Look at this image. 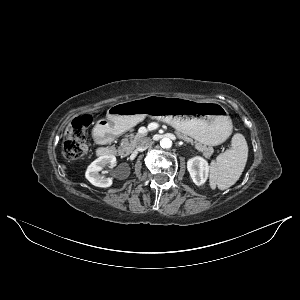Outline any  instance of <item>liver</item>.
<instances>
[{
    "mask_svg": "<svg viewBox=\"0 0 300 300\" xmlns=\"http://www.w3.org/2000/svg\"><path fill=\"white\" fill-rule=\"evenodd\" d=\"M69 129H70V124L66 127V129H65V133H64V136H66L67 135V132L69 131Z\"/></svg>",
    "mask_w": 300,
    "mask_h": 300,
    "instance_id": "6515ba94",
    "label": "liver"
}]
</instances>
